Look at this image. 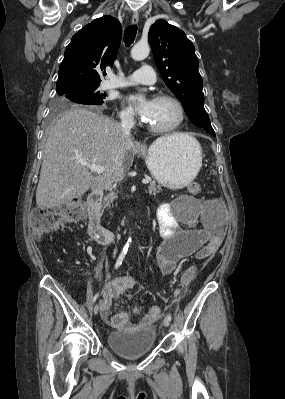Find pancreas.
<instances>
[{"label":"pancreas","instance_id":"cf45deb5","mask_svg":"<svg viewBox=\"0 0 285 399\" xmlns=\"http://www.w3.org/2000/svg\"><path fill=\"white\" fill-rule=\"evenodd\" d=\"M148 191L149 194L151 195H157V193H159L160 191H162L161 186L157 185L155 183V181H151L149 186H148ZM117 193L115 190H111L104 198L103 201V207H110V205L113 203V201L116 199L117 197Z\"/></svg>","mask_w":285,"mask_h":399}]
</instances>
